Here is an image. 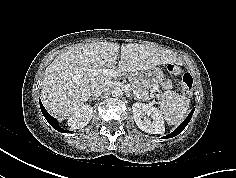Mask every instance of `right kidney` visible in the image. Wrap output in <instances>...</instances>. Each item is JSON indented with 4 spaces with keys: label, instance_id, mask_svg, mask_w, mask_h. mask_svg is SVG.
Returning <instances> with one entry per match:
<instances>
[{
    "label": "right kidney",
    "instance_id": "right-kidney-1",
    "mask_svg": "<svg viewBox=\"0 0 236 178\" xmlns=\"http://www.w3.org/2000/svg\"><path fill=\"white\" fill-rule=\"evenodd\" d=\"M93 116V107L89 104L83 105L68 119V126L71 129H80L85 127Z\"/></svg>",
    "mask_w": 236,
    "mask_h": 178
}]
</instances>
